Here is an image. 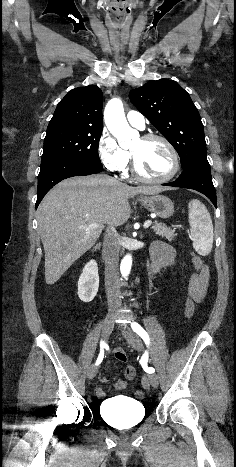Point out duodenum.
<instances>
[{
    "label": "duodenum",
    "instance_id": "obj_1",
    "mask_svg": "<svg viewBox=\"0 0 236 467\" xmlns=\"http://www.w3.org/2000/svg\"><path fill=\"white\" fill-rule=\"evenodd\" d=\"M98 250H99V246H96L94 250L92 251L91 256H95Z\"/></svg>",
    "mask_w": 236,
    "mask_h": 467
}]
</instances>
